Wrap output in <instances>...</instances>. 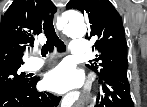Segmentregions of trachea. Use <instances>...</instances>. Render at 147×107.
<instances>
[{"instance_id": "trachea-1", "label": "trachea", "mask_w": 147, "mask_h": 107, "mask_svg": "<svg viewBox=\"0 0 147 107\" xmlns=\"http://www.w3.org/2000/svg\"><path fill=\"white\" fill-rule=\"evenodd\" d=\"M43 30L47 41L42 47V56H45L48 52L52 51L54 47H56L59 51L65 50L66 47L64 42L59 39L55 32L52 18H44Z\"/></svg>"}]
</instances>
